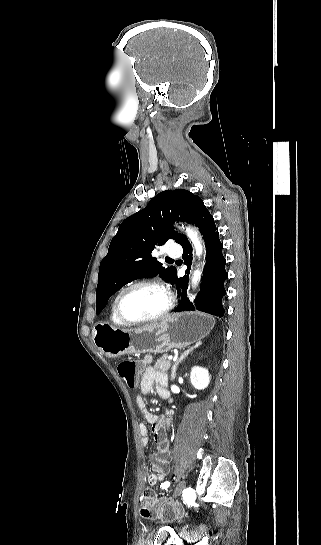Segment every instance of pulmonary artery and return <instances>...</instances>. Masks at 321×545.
I'll return each mask as SVG.
<instances>
[{
  "instance_id": "obj_1",
  "label": "pulmonary artery",
  "mask_w": 321,
  "mask_h": 545,
  "mask_svg": "<svg viewBox=\"0 0 321 545\" xmlns=\"http://www.w3.org/2000/svg\"><path fill=\"white\" fill-rule=\"evenodd\" d=\"M182 250L176 243H171L168 250L164 251L163 257L165 261H176L180 257Z\"/></svg>"
}]
</instances>
